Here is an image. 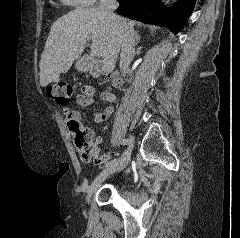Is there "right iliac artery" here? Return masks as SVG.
I'll return each instance as SVG.
<instances>
[{
  "instance_id": "1",
  "label": "right iliac artery",
  "mask_w": 240,
  "mask_h": 238,
  "mask_svg": "<svg viewBox=\"0 0 240 238\" xmlns=\"http://www.w3.org/2000/svg\"><path fill=\"white\" fill-rule=\"evenodd\" d=\"M121 143H122L121 145H122L123 147H124V146L127 147V146L129 145L127 140H123ZM119 160H120V159L112 160L111 162H108L107 165L114 164V163H116V162L119 161Z\"/></svg>"
}]
</instances>
